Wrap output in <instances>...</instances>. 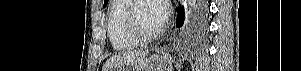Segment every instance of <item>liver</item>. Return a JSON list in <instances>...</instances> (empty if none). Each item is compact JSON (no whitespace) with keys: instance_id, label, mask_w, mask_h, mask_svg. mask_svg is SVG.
Returning a JSON list of instances; mask_svg holds the SVG:
<instances>
[{"instance_id":"6515ba94","label":"liver","mask_w":301,"mask_h":71,"mask_svg":"<svg viewBox=\"0 0 301 71\" xmlns=\"http://www.w3.org/2000/svg\"><path fill=\"white\" fill-rule=\"evenodd\" d=\"M147 55L148 51H131L114 55L106 61L102 71L113 70L121 66L138 63Z\"/></svg>"}]
</instances>
